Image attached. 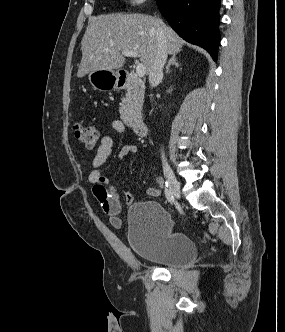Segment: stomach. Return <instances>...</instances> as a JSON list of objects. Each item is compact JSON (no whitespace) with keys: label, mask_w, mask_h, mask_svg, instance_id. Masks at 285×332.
I'll use <instances>...</instances> for the list:
<instances>
[{"label":"stomach","mask_w":285,"mask_h":332,"mask_svg":"<svg viewBox=\"0 0 285 332\" xmlns=\"http://www.w3.org/2000/svg\"><path fill=\"white\" fill-rule=\"evenodd\" d=\"M88 80L95 90L108 91L118 88L120 75L114 70H94L88 73Z\"/></svg>","instance_id":"0dacf381"}]
</instances>
